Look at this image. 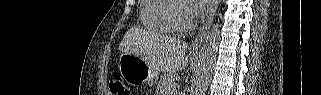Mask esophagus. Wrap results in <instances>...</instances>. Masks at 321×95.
I'll use <instances>...</instances> for the list:
<instances>
[{
    "mask_svg": "<svg viewBox=\"0 0 321 95\" xmlns=\"http://www.w3.org/2000/svg\"><path fill=\"white\" fill-rule=\"evenodd\" d=\"M218 4H219V0H215L214 1V4H213V7L205 21V23L203 24L202 28L200 29L199 33L197 34V36L194 38L193 42H192V47H200L203 42H204V39L207 35V32L214 20V17H215V13H216V10H217V7H218Z\"/></svg>",
    "mask_w": 321,
    "mask_h": 95,
    "instance_id": "esophagus-1",
    "label": "esophagus"
}]
</instances>
